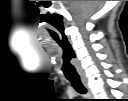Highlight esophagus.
I'll use <instances>...</instances> for the list:
<instances>
[{
	"mask_svg": "<svg viewBox=\"0 0 128 101\" xmlns=\"http://www.w3.org/2000/svg\"><path fill=\"white\" fill-rule=\"evenodd\" d=\"M81 82H82V84L84 85V87L86 88L87 97L91 99V98H92V93H91V91H90L87 78L82 77V78H81Z\"/></svg>",
	"mask_w": 128,
	"mask_h": 101,
	"instance_id": "obj_1",
	"label": "esophagus"
}]
</instances>
